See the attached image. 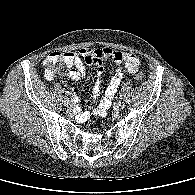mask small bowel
Instances as JSON below:
<instances>
[{
	"label": "small bowel",
	"instance_id": "1",
	"mask_svg": "<svg viewBox=\"0 0 195 195\" xmlns=\"http://www.w3.org/2000/svg\"><path fill=\"white\" fill-rule=\"evenodd\" d=\"M65 54L69 59L70 69L68 71V77L75 82H79L85 77V64L91 68H95L99 76L104 73L102 66L104 61H112L115 64L114 74L109 81L102 99L98 101L101 88V82L98 80L93 90V103L95 106L90 110H76V116L80 121L87 120L91 115L105 117L123 76L127 73H136L140 66V59L136 55L125 52H115L110 49L84 48L76 52H67Z\"/></svg>",
	"mask_w": 195,
	"mask_h": 195
}]
</instances>
